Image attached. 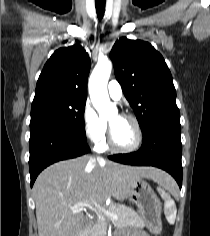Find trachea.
I'll list each match as a JSON object with an SVG mask.
<instances>
[{
    "mask_svg": "<svg viewBox=\"0 0 210 236\" xmlns=\"http://www.w3.org/2000/svg\"><path fill=\"white\" fill-rule=\"evenodd\" d=\"M95 7L98 18L101 20L105 12V0H96Z\"/></svg>",
    "mask_w": 210,
    "mask_h": 236,
    "instance_id": "3493384b",
    "label": "trachea"
}]
</instances>
